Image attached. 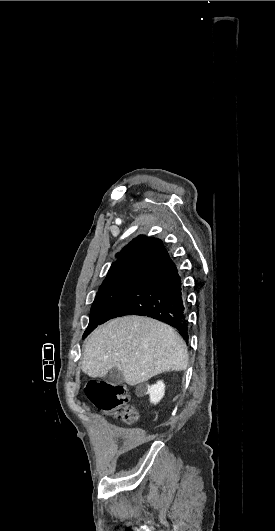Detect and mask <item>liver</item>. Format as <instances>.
Instances as JSON below:
<instances>
[{"label": "liver", "mask_w": 275, "mask_h": 531, "mask_svg": "<svg viewBox=\"0 0 275 531\" xmlns=\"http://www.w3.org/2000/svg\"><path fill=\"white\" fill-rule=\"evenodd\" d=\"M188 351L175 329L148 317H119L88 337L81 369L104 377L118 367L127 385H139L166 371H186Z\"/></svg>", "instance_id": "1"}]
</instances>
